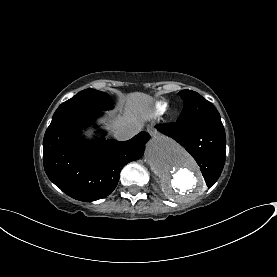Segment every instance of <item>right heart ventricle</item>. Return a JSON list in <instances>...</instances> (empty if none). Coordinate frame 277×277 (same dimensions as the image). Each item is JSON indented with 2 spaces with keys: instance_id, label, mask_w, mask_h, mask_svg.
Masks as SVG:
<instances>
[{
  "instance_id": "1",
  "label": "right heart ventricle",
  "mask_w": 277,
  "mask_h": 277,
  "mask_svg": "<svg viewBox=\"0 0 277 277\" xmlns=\"http://www.w3.org/2000/svg\"><path fill=\"white\" fill-rule=\"evenodd\" d=\"M166 106H167V103H165V102L158 103L157 112L163 111L166 108Z\"/></svg>"
}]
</instances>
